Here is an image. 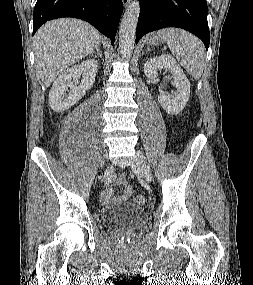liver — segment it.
Instances as JSON below:
<instances>
[{
	"label": "liver",
	"instance_id": "obj_1",
	"mask_svg": "<svg viewBox=\"0 0 253 285\" xmlns=\"http://www.w3.org/2000/svg\"><path fill=\"white\" fill-rule=\"evenodd\" d=\"M101 35L89 23L72 18L48 21L34 36L38 72L45 86L64 69L99 46Z\"/></svg>",
	"mask_w": 253,
	"mask_h": 285
}]
</instances>
